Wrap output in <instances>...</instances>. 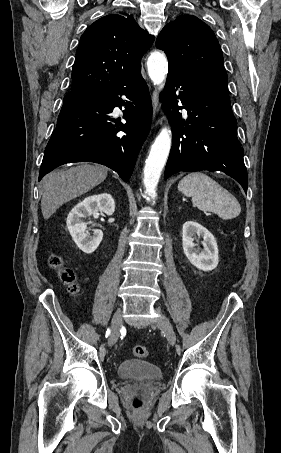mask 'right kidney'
<instances>
[{
	"label": "right kidney",
	"mask_w": 281,
	"mask_h": 453,
	"mask_svg": "<svg viewBox=\"0 0 281 453\" xmlns=\"http://www.w3.org/2000/svg\"><path fill=\"white\" fill-rule=\"evenodd\" d=\"M115 210V200L112 194L102 192V194H93V196H86L84 200H80L75 204L74 208L70 210L66 224L67 229L77 247L83 253H94L99 247L103 233L100 229H94L92 235L87 231V222H84V216L89 214H113Z\"/></svg>",
	"instance_id": "ca27d5eb"
}]
</instances>
